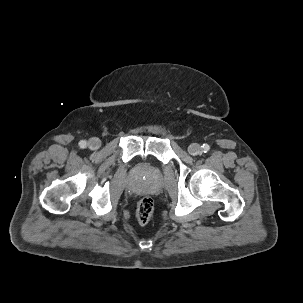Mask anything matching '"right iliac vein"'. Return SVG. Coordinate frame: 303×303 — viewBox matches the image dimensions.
<instances>
[{"label":"right iliac vein","mask_w":303,"mask_h":303,"mask_svg":"<svg viewBox=\"0 0 303 303\" xmlns=\"http://www.w3.org/2000/svg\"><path fill=\"white\" fill-rule=\"evenodd\" d=\"M88 146L92 150H96L101 146V141L98 138H91L88 141Z\"/></svg>","instance_id":"63e3f726"}]
</instances>
